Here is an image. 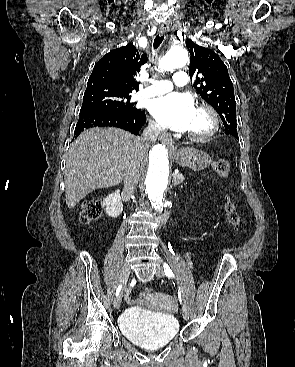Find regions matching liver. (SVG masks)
<instances>
[{
  "label": "liver",
  "instance_id": "liver-1",
  "mask_svg": "<svg viewBox=\"0 0 295 367\" xmlns=\"http://www.w3.org/2000/svg\"><path fill=\"white\" fill-rule=\"evenodd\" d=\"M146 153L140 138L118 128L83 131L69 148L65 169V200L74 208L96 189L112 187L124 179L126 169L140 167Z\"/></svg>",
  "mask_w": 295,
  "mask_h": 367
}]
</instances>
